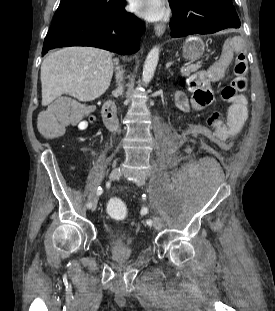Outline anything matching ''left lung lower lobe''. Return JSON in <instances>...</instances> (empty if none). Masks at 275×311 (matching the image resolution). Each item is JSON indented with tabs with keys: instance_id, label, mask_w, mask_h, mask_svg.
Segmentation results:
<instances>
[{
	"instance_id": "obj_1",
	"label": "left lung lower lobe",
	"mask_w": 275,
	"mask_h": 311,
	"mask_svg": "<svg viewBox=\"0 0 275 311\" xmlns=\"http://www.w3.org/2000/svg\"><path fill=\"white\" fill-rule=\"evenodd\" d=\"M173 11L171 36L211 34L224 29L240 28V20L233 4L220 0H191L181 3L169 0Z\"/></svg>"
}]
</instances>
